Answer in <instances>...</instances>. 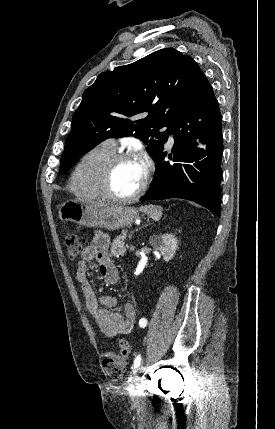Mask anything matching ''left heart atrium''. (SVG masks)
Segmentation results:
<instances>
[{
  "label": "left heart atrium",
  "mask_w": 275,
  "mask_h": 429,
  "mask_svg": "<svg viewBox=\"0 0 275 429\" xmlns=\"http://www.w3.org/2000/svg\"><path fill=\"white\" fill-rule=\"evenodd\" d=\"M139 162H140V165H141V167H142V169H143V171H144V174H145V171H146V163H145V161H144V160H139Z\"/></svg>",
  "instance_id": "obj_1"
}]
</instances>
